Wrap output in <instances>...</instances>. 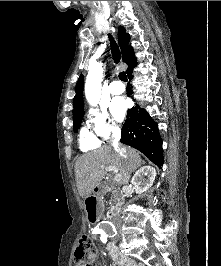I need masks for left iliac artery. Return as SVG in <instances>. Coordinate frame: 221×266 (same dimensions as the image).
Masks as SVG:
<instances>
[{"instance_id": "obj_1", "label": "left iliac artery", "mask_w": 221, "mask_h": 266, "mask_svg": "<svg viewBox=\"0 0 221 266\" xmlns=\"http://www.w3.org/2000/svg\"><path fill=\"white\" fill-rule=\"evenodd\" d=\"M106 235H105V233H101V237H100V239H101V241L103 242V243H106Z\"/></svg>"}]
</instances>
